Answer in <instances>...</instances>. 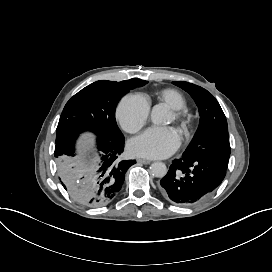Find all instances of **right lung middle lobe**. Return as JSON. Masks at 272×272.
Listing matches in <instances>:
<instances>
[{"label": "right lung middle lobe", "mask_w": 272, "mask_h": 272, "mask_svg": "<svg viewBox=\"0 0 272 272\" xmlns=\"http://www.w3.org/2000/svg\"><path fill=\"white\" fill-rule=\"evenodd\" d=\"M146 83L137 78L121 82L101 80L83 88L63 109L56 130V144L84 131L94 132L112 142L123 140L115 120L117 103L129 89Z\"/></svg>", "instance_id": "1"}]
</instances>
